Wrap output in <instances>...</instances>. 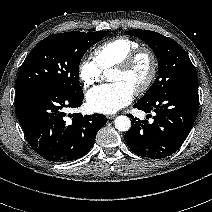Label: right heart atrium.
I'll return each mask as SVG.
<instances>
[{
  "instance_id": "d8ad5b80",
  "label": "right heart atrium",
  "mask_w": 212,
  "mask_h": 212,
  "mask_svg": "<svg viewBox=\"0 0 212 212\" xmlns=\"http://www.w3.org/2000/svg\"><path fill=\"white\" fill-rule=\"evenodd\" d=\"M77 74L81 85L89 88L100 80L102 70L95 60L83 58L78 64Z\"/></svg>"
}]
</instances>
